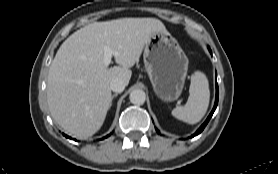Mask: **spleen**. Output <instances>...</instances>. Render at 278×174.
I'll list each match as a JSON object with an SVG mask.
<instances>
[{
  "label": "spleen",
  "instance_id": "1",
  "mask_svg": "<svg viewBox=\"0 0 278 174\" xmlns=\"http://www.w3.org/2000/svg\"><path fill=\"white\" fill-rule=\"evenodd\" d=\"M189 94L187 103L174 108L172 115L188 124H195L203 118L209 105V83L204 73L196 71L191 76Z\"/></svg>",
  "mask_w": 278,
  "mask_h": 174
}]
</instances>
